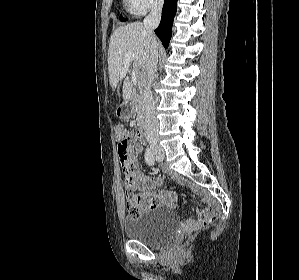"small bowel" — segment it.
<instances>
[{
	"instance_id": "small-bowel-1",
	"label": "small bowel",
	"mask_w": 299,
	"mask_h": 280,
	"mask_svg": "<svg viewBox=\"0 0 299 280\" xmlns=\"http://www.w3.org/2000/svg\"><path fill=\"white\" fill-rule=\"evenodd\" d=\"M142 146L131 140L129 149V169L123 173L121 185L127 189L140 191L136 196L137 201L143 209H153L160 206H166L169 209L175 208L177 195L173 191L159 190L158 187L163 184L164 177H150L139 170L137 155L141 152ZM180 182L182 180L179 179ZM208 204L204 210L198 214L195 219H189L184 222L186 228H194L202 225L208 218L217 212V206L210 202L207 197L204 198Z\"/></svg>"
}]
</instances>
